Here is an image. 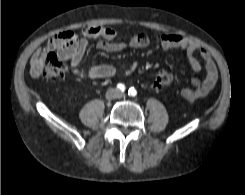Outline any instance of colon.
Masks as SVG:
<instances>
[{
	"mask_svg": "<svg viewBox=\"0 0 245 195\" xmlns=\"http://www.w3.org/2000/svg\"><path fill=\"white\" fill-rule=\"evenodd\" d=\"M68 67L66 63L61 61L56 54L49 53L46 56L45 70L43 77L46 81H54L62 79L67 74ZM173 75L170 71L162 69L152 76V86L155 89H162L171 84Z\"/></svg>",
	"mask_w": 245,
	"mask_h": 195,
	"instance_id": "obj_1",
	"label": "colon"
}]
</instances>
